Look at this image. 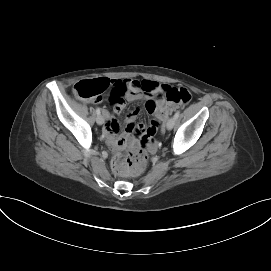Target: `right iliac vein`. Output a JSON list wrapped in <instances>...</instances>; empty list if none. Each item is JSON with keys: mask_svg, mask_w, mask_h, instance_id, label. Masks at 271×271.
Wrapping results in <instances>:
<instances>
[{"mask_svg": "<svg viewBox=\"0 0 271 271\" xmlns=\"http://www.w3.org/2000/svg\"><path fill=\"white\" fill-rule=\"evenodd\" d=\"M96 122L98 125H102L104 123V116L103 115H98L96 118Z\"/></svg>", "mask_w": 271, "mask_h": 271, "instance_id": "1", "label": "right iliac vein"}]
</instances>
